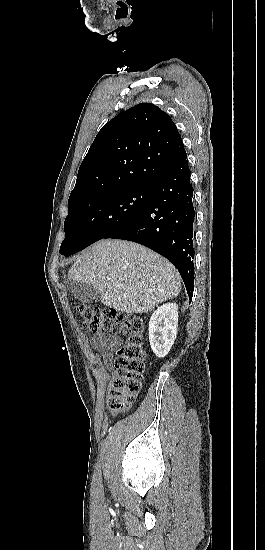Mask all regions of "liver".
<instances>
[{"label":"liver","mask_w":265,"mask_h":550,"mask_svg":"<svg viewBox=\"0 0 265 550\" xmlns=\"http://www.w3.org/2000/svg\"><path fill=\"white\" fill-rule=\"evenodd\" d=\"M68 277L87 283L122 313H145L178 296L181 276L164 257L131 241L100 240L83 250Z\"/></svg>","instance_id":"6515ba94"}]
</instances>
